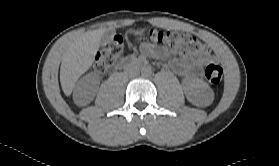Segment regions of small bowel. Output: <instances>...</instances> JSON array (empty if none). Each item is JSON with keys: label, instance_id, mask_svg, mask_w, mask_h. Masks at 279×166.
I'll return each instance as SVG.
<instances>
[{"label": "small bowel", "instance_id": "obj_1", "mask_svg": "<svg viewBox=\"0 0 279 166\" xmlns=\"http://www.w3.org/2000/svg\"><path fill=\"white\" fill-rule=\"evenodd\" d=\"M144 52L147 54H151L156 57H162L164 55L163 52L160 51H152L149 48H145ZM214 57L208 53L207 51L199 54L197 59H192L188 57H184L180 60H174L173 67L175 71L184 77L194 76L198 73V70L202 68L205 64L213 62Z\"/></svg>", "mask_w": 279, "mask_h": 166}]
</instances>
